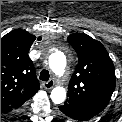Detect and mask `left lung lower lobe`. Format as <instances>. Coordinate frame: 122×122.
<instances>
[{"label": "left lung lower lobe", "instance_id": "0a47b994", "mask_svg": "<svg viewBox=\"0 0 122 122\" xmlns=\"http://www.w3.org/2000/svg\"><path fill=\"white\" fill-rule=\"evenodd\" d=\"M59 109L68 117H71L78 121H86L95 116L93 113L84 110L82 108L64 103V105L59 106Z\"/></svg>", "mask_w": 122, "mask_h": 122}]
</instances>
